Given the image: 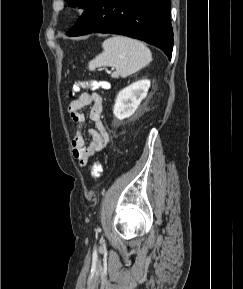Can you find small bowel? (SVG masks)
<instances>
[{
  "instance_id": "obj_1",
  "label": "small bowel",
  "mask_w": 243,
  "mask_h": 289,
  "mask_svg": "<svg viewBox=\"0 0 243 289\" xmlns=\"http://www.w3.org/2000/svg\"><path fill=\"white\" fill-rule=\"evenodd\" d=\"M91 106L89 118L94 124V128L89 133L91 141L86 144L80 131H77L72 138V154L80 166H86L89 160L98 152L102 151L109 142V133L102 122L103 98L97 92H84L78 98L71 101L68 107V114L77 124L85 121L82 110Z\"/></svg>"
}]
</instances>
